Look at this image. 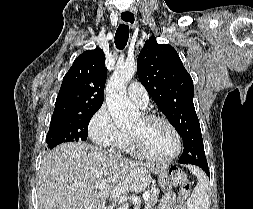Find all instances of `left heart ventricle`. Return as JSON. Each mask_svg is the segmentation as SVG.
<instances>
[{"instance_id":"left-heart-ventricle-1","label":"left heart ventricle","mask_w":253,"mask_h":209,"mask_svg":"<svg viewBox=\"0 0 253 209\" xmlns=\"http://www.w3.org/2000/svg\"><path fill=\"white\" fill-rule=\"evenodd\" d=\"M130 132L140 138L144 150L154 157L165 158L175 150V136L161 121L146 122L141 116L130 128Z\"/></svg>"}]
</instances>
